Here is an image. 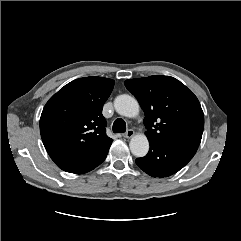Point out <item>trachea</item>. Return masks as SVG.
<instances>
[{"mask_svg":"<svg viewBox=\"0 0 241 241\" xmlns=\"http://www.w3.org/2000/svg\"><path fill=\"white\" fill-rule=\"evenodd\" d=\"M126 131V123L123 119L118 118L113 123V132L114 133H123Z\"/></svg>","mask_w":241,"mask_h":241,"instance_id":"1","label":"trachea"}]
</instances>
